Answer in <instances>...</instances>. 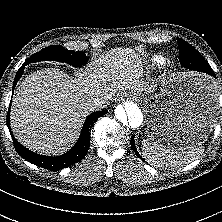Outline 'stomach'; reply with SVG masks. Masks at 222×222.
Masks as SVG:
<instances>
[{
    "label": "stomach",
    "instance_id": "obj_1",
    "mask_svg": "<svg viewBox=\"0 0 222 222\" xmlns=\"http://www.w3.org/2000/svg\"><path fill=\"white\" fill-rule=\"evenodd\" d=\"M142 99L147 113V137L165 146H201L217 120L214 85L201 74L170 75L161 81L158 92Z\"/></svg>",
    "mask_w": 222,
    "mask_h": 222
}]
</instances>
